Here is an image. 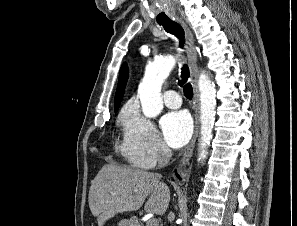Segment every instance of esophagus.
<instances>
[{
  "mask_svg": "<svg viewBox=\"0 0 297 226\" xmlns=\"http://www.w3.org/2000/svg\"><path fill=\"white\" fill-rule=\"evenodd\" d=\"M178 22L182 25L184 32H185V38H186V53L190 65V71H191V81L193 85V108L195 111V121H194V133L193 137L188 144V146L185 149V152L182 156V159L180 161V166L184 167L190 160L193 154L195 142L198 136V129H199V91H198V85H197V78H198V64H197V52L195 48L194 43V37L187 26V24L182 21L181 19H178Z\"/></svg>",
  "mask_w": 297,
  "mask_h": 226,
  "instance_id": "obj_1",
  "label": "esophagus"
}]
</instances>
